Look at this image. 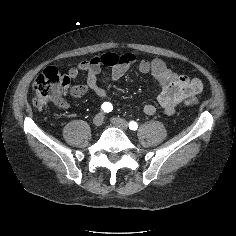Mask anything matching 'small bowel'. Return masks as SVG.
I'll return each mask as SVG.
<instances>
[{
    "instance_id": "c3829d8e",
    "label": "small bowel",
    "mask_w": 236,
    "mask_h": 236,
    "mask_svg": "<svg viewBox=\"0 0 236 236\" xmlns=\"http://www.w3.org/2000/svg\"><path fill=\"white\" fill-rule=\"evenodd\" d=\"M103 65L110 66L111 71L109 74L101 76ZM131 67H136L142 74L150 73L159 83L160 88L156 93V99L168 115H172L186 97L198 94L203 87L199 78L177 74L161 59H140L132 53L120 56L107 53L81 61L76 67L69 69L70 78H76L80 73L87 74L86 83L72 86L70 94L73 97H82L88 92H93L100 98H106L108 92L105 86L121 79ZM55 103L61 108L69 107V103L62 98L56 100ZM143 111L147 115H153L156 112V106L146 104Z\"/></svg>"
}]
</instances>
